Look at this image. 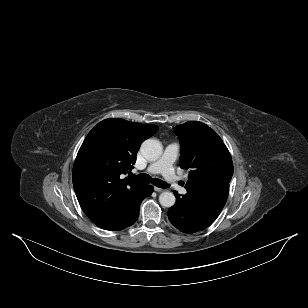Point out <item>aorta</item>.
I'll return each instance as SVG.
<instances>
[{
	"instance_id": "aorta-1",
	"label": "aorta",
	"mask_w": 308,
	"mask_h": 308,
	"mask_svg": "<svg viewBox=\"0 0 308 308\" xmlns=\"http://www.w3.org/2000/svg\"><path fill=\"white\" fill-rule=\"evenodd\" d=\"M141 153L148 160H157L162 154V145L155 139H147L141 145ZM175 196L172 192L165 191L159 195V202L164 207H172L175 204Z\"/></svg>"
}]
</instances>
